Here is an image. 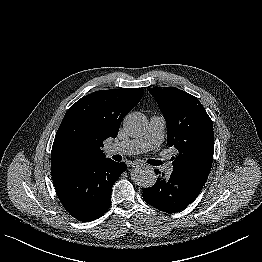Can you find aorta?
<instances>
[{
	"label": "aorta",
	"instance_id": "obj_1",
	"mask_svg": "<svg viewBox=\"0 0 262 262\" xmlns=\"http://www.w3.org/2000/svg\"><path fill=\"white\" fill-rule=\"evenodd\" d=\"M147 119L144 114L139 112L129 113L123 119L124 130L131 137H140L145 134ZM133 182L143 188L155 185L157 181L156 173L149 168H136L131 173Z\"/></svg>",
	"mask_w": 262,
	"mask_h": 262
}]
</instances>
